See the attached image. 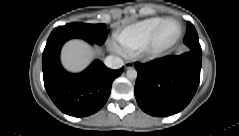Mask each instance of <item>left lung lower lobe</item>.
<instances>
[{
	"mask_svg": "<svg viewBox=\"0 0 239 136\" xmlns=\"http://www.w3.org/2000/svg\"><path fill=\"white\" fill-rule=\"evenodd\" d=\"M202 53L189 51L151 64L135 63V97L140 108L153 116H169L184 109L200 80Z\"/></svg>",
	"mask_w": 239,
	"mask_h": 136,
	"instance_id": "1",
	"label": "left lung lower lobe"
}]
</instances>
